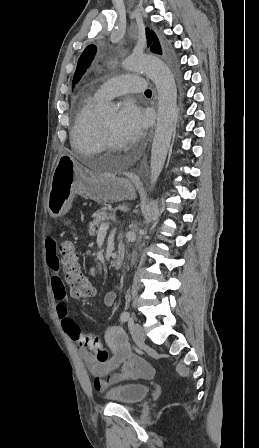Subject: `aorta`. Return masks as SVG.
<instances>
[{
    "label": "aorta",
    "mask_w": 259,
    "mask_h": 448,
    "mask_svg": "<svg viewBox=\"0 0 259 448\" xmlns=\"http://www.w3.org/2000/svg\"><path fill=\"white\" fill-rule=\"evenodd\" d=\"M124 67L130 71L145 73L155 84L158 92V116L151 149V184H155L164 167L175 125L177 89L175 79L168 66L151 55H137L127 58ZM116 108L109 103L106 111Z\"/></svg>",
    "instance_id": "aorta-1"
}]
</instances>
